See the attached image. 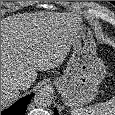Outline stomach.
Returning <instances> with one entry per match:
<instances>
[{"label":"stomach","instance_id":"1","mask_svg":"<svg viewBox=\"0 0 115 115\" xmlns=\"http://www.w3.org/2000/svg\"><path fill=\"white\" fill-rule=\"evenodd\" d=\"M105 75V64L97 56L96 43L89 27L78 26L65 73L54 80L62 101L72 108H79L92 101Z\"/></svg>","mask_w":115,"mask_h":115}]
</instances>
